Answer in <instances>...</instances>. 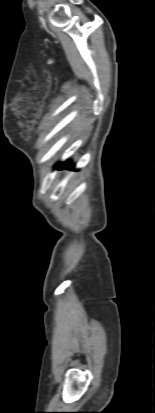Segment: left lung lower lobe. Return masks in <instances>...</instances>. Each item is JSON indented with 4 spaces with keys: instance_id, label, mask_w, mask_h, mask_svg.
<instances>
[{
    "instance_id": "1",
    "label": "left lung lower lobe",
    "mask_w": 155,
    "mask_h": 413,
    "mask_svg": "<svg viewBox=\"0 0 155 413\" xmlns=\"http://www.w3.org/2000/svg\"><path fill=\"white\" fill-rule=\"evenodd\" d=\"M55 168H57L58 170H61V169H63V168L73 169L74 166L71 165L68 161H66V162H63V163H58V164H56Z\"/></svg>"
}]
</instances>
